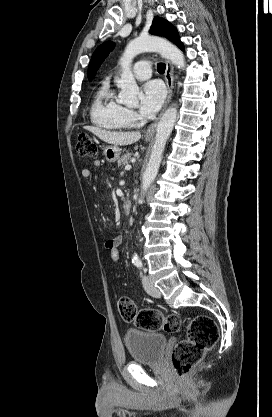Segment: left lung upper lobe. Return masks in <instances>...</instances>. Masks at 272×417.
Masks as SVG:
<instances>
[{"label": "left lung upper lobe", "mask_w": 272, "mask_h": 417, "mask_svg": "<svg viewBox=\"0 0 272 417\" xmlns=\"http://www.w3.org/2000/svg\"><path fill=\"white\" fill-rule=\"evenodd\" d=\"M149 33L152 35L163 36L169 40H171L174 44H176L180 49H184L182 42L180 41V37L178 35L177 29L167 20L161 17H155L152 26L149 30ZM114 48V43L106 42L100 45L92 55L91 61L88 67V78L91 80L98 68L100 67L101 63L107 57L109 52Z\"/></svg>", "instance_id": "1"}]
</instances>
